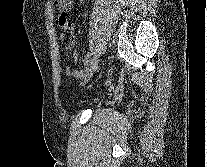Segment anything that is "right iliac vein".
Listing matches in <instances>:
<instances>
[{"instance_id": "right-iliac-vein-1", "label": "right iliac vein", "mask_w": 207, "mask_h": 167, "mask_svg": "<svg viewBox=\"0 0 207 167\" xmlns=\"http://www.w3.org/2000/svg\"><path fill=\"white\" fill-rule=\"evenodd\" d=\"M98 66V58L94 57L88 64V66L86 67V73H85V78L84 81L82 82L83 85H85L86 83H88L90 81V79L92 78L94 72L96 71Z\"/></svg>"}]
</instances>
